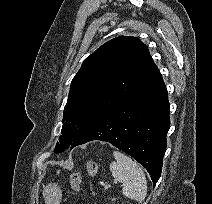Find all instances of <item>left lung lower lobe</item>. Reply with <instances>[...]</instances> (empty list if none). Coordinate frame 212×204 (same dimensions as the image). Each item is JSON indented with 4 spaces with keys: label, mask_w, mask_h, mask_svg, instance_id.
<instances>
[{
    "label": "left lung lower lobe",
    "mask_w": 212,
    "mask_h": 204,
    "mask_svg": "<svg viewBox=\"0 0 212 204\" xmlns=\"http://www.w3.org/2000/svg\"><path fill=\"white\" fill-rule=\"evenodd\" d=\"M169 127L167 89L157 69L82 133L74 147L92 140L109 142L143 165L155 186L161 175Z\"/></svg>",
    "instance_id": "0a47b994"
}]
</instances>
